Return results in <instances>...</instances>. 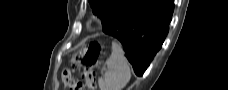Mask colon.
Segmentation results:
<instances>
[{"mask_svg": "<svg viewBox=\"0 0 228 90\" xmlns=\"http://www.w3.org/2000/svg\"><path fill=\"white\" fill-rule=\"evenodd\" d=\"M101 46L98 42H91L86 48L78 51L70 60L69 65L62 71L63 84L68 90H84L85 86L89 90L96 89L93 73L98 64V57ZM72 67H82V77L85 85L73 79Z\"/></svg>", "mask_w": 228, "mask_h": 90, "instance_id": "colon-1", "label": "colon"}]
</instances>
